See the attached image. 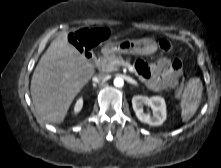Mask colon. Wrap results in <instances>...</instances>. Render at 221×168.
Masks as SVG:
<instances>
[{
    "instance_id": "5ec220e1",
    "label": "colon",
    "mask_w": 221,
    "mask_h": 168,
    "mask_svg": "<svg viewBox=\"0 0 221 168\" xmlns=\"http://www.w3.org/2000/svg\"><path fill=\"white\" fill-rule=\"evenodd\" d=\"M107 37L108 31L106 29H83L73 33L70 36V41L79 49L88 50L99 42L105 40ZM159 46L164 51H169L172 48L171 43L165 39L160 40ZM186 77V73L181 76V84L177 87V91L174 92L175 98H180L182 93L184 92Z\"/></svg>"
}]
</instances>
